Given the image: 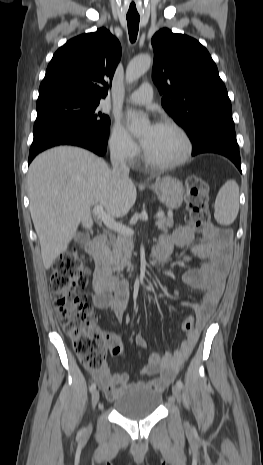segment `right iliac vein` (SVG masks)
I'll return each instance as SVG.
<instances>
[{"instance_id":"1","label":"right iliac vein","mask_w":263,"mask_h":465,"mask_svg":"<svg viewBox=\"0 0 263 465\" xmlns=\"http://www.w3.org/2000/svg\"><path fill=\"white\" fill-rule=\"evenodd\" d=\"M99 391L98 390H94L93 393H92V407L95 408L98 401H99Z\"/></svg>"}]
</instances>
